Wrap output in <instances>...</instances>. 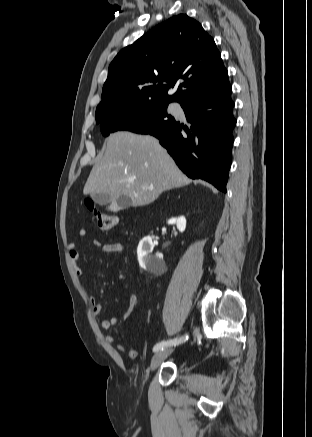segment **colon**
<instances>
[{"label": "colon", "instance_id": "5ec220e1", "mask_svg": "<svg viewBox=\"0 0 312 437\" xmlns=\"http://www.w3.org/2000/svg\"><path fill=\"white\" fill-rule=\"evenodd\" d=\"M85 205L89 209L93 221L101 230H111L118 224L119 217L116 214L100 211L94 201L87 199Z\"/></svg>", "mask_w": 312, "mask_h": 437}]
</instances>
